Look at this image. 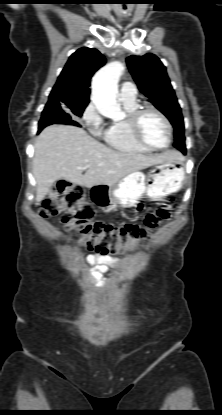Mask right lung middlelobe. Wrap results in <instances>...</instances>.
I'll use <instances>...</instances> for the list:
<instances>
[{"mask_svg":"<svg viewBox=\"0 0 222 415\" xmlns=\"http://www.w3.org/2000/svg\"><path fill=\"white\" fill-rule=\"evenodd\" d=\"M88 104L87 103H77V102H71V103H47L45 109H48L49 111H63L66 110L72 115H76L81 117L84 109L86 108ZM64 112V111H63ZM67 114V113H66ZM70 116L69 114H67ZM71 118V116H70Z\"/></svg>","mask_w":222,"mask_h":415,"instance_id":"dd1d6c3e","label":"right lung middle lobe"}]
</instances>
